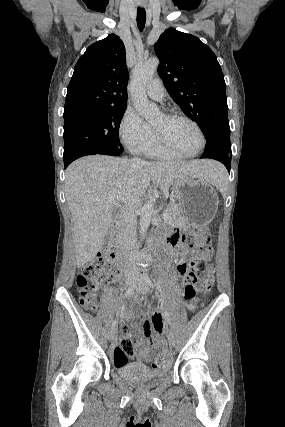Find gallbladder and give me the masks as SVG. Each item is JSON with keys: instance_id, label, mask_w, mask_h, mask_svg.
Instances as JSON below:
<instances>
[{"instance_id": "bac80fb5", "label": "gallbladder", "mask_w": 285, "mask_h": 427, "mask_svg": "<svg viewBox=\"0 0 285 427\" xmlns=\"http://www.w3.org/2000/svg\"><path fill=\"white\" fill-rule=\"evenodd\" d=\"M115 215V210H114V212H113V216Z\"/></svg>"}]
</instances>
